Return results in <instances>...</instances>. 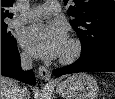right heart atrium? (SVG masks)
Segmentation results:
<instances>
[{"instance_id": "obj_1", "label": "right heart atrium", "mask_w": 115, "mask_h": 99, "mask_svg": "<svg viewBox=\"0 0 115 99\" xmlns=\"http://www.w3.org/2000/svg\"><path fill=\"white\" fill-rule=\"evenodd\" d=\"M22 57H23L24 60L28 59V56L25 53L22 54Z\"/></svg>"}]
</instances>
